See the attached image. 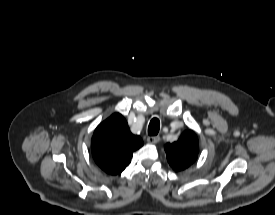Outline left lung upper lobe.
Masks as SVG:
<instances>
[{
  "label": "left lung upper lobe",
  "mask_w": 275,
  "mask_h": 215,
  "mask_svg": "<svg viewBox=\"0 0 275 215\" xmlns=\"http://www.w3.org/2000/svg\"><path fill=\"white\" fill-rule=\"evenodd\" d=\"M165 151L170 166L175 171L184 170L197 159L198 138L193 131H185L178 141L166 144Z\"/></svg>",
  "instance_id": "obj_1"
}]
</instances>
